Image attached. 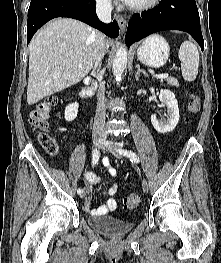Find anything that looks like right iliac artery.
Segmentation results:
<instances>
[{
	"label": "right iliac artery",
	"mask_w": 221,
	"mask_h": 263,
	"mask_svg": "<svg viewBox=\"0 0 221 263\" xmlns=\"http://www.w3.org/2000/svg\"><path fill=\"white\" fill-rule=\"evenodd\" d=\"M99 157H100V153H99V150L96 148L94 151H93V154H92V164L95 165L98 163L99 161ZM83 192V190L81 188H79L77 190V193L78 194H81Z\"/></svg>",
	"instance_id": "1"
}]
</instances>
